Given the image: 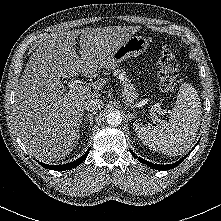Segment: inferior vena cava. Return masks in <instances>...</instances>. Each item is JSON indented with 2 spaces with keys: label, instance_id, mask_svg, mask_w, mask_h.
I'll list each match as a JSON object with an SVG mask.
<instances>
[{
  "label": "inferior vena cava",
  "instance_id": "1",
  "mask_svg": "<svg viewBox=\"0 0 221 221\" xmlns=\"http://www.w3.org/2000/svg\"><path fill=\"white\" fill-rule=\"evenodd\" d=\"M103 107V101L101 99H89L85 102V109L89 112L97 111Z\"/></svg>",
  "mask_w": 221,
  "mask_h": 221
}]
</instances>
